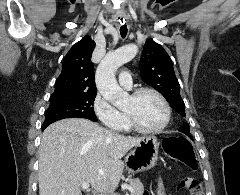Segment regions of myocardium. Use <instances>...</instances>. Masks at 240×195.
<instances>
[{
  "instance_id": "myocardium-1",
  "label": "myocardium",
  "mask_w": 240,
  "mask_h": 195,
  "mask_svg": "<svg viewBox=\"0 0 240 195\" xmlns=\"http://www.w3.org/2000/svg\"><path fill=\"white\" fill-rule=\"evenodd\" d=\"M145 93H151V94L155 95L159 99V101L163 107V120L160 123V125H158L157 127H153V128L144 127L137 121L134 113L131 110H126V109H124L125 120H126L127 125L129 127H131L132 129H134L136 132H139L142 134H156V133L161 132L168 125V123L170 121V107H169V104H168L166 98L164 97V95L161 92H159L158 90H156L154 88H150V87H144V88H140V89L136 90L130 96V98L132 100H137L140 96H142Z\"/></svg>"
}]
</instances>
